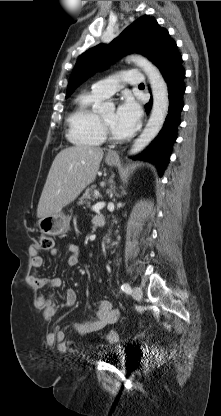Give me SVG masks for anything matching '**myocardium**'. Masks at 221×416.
Masks as SVG:
<instances>
[{
    "instance_id": "1",
    "label": "myocardium",
    "mask_w": 221,
    "mask_h": 416,
    "mask_svg": "<svg viewBox=\"0 0 221 416\" xmlns=\"http://www.w3.org/2000/svg\"><path fill=\"white\" fill-rule=\"evenodd\" d=\"M99 122L101 125V129L103 132V135L105 137V139L110 140L111 142H122L125 140V137H117L115 136L110 127L108 126V124L103 120V118L101 117V115H99Z\"/></svg>"
}]
</instances>
